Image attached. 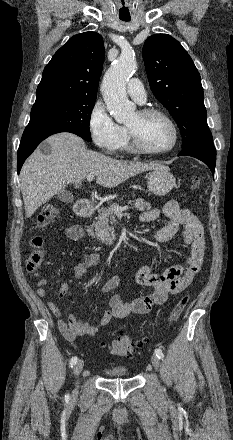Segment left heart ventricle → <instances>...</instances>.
Masks as SVG:
<instances>
[{
  "instance_id": "left-heart-ventricle-1",
  "label": "left heart ventricle",
  "mask_w": 233,
  "mask_h": 440,
  "mask_svg": "<svg viewBox=\"0 0 233 440\" xmlns=\"http://www.w3.org/2000/svg\"><path fill=\"white\" fill-rule=\"evenodd\" d=\"M127 127L135 131L142 143L149 149L167 148L173 139L170 125L160 116H141L138 112L128 122Z\"/></svg>"
}]
</instances>
